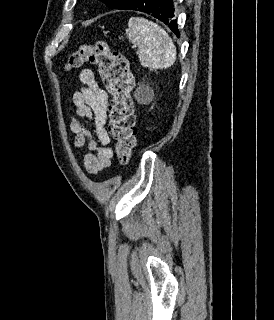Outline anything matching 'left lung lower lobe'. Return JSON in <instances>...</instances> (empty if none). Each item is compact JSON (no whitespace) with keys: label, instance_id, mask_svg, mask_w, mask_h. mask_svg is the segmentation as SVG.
Wrapping results in <instances>:
<instances>
[{"label":"left lung lower lobe","instance_id":"obj_1","mask_svg":"<svg viewBox=\"0 0 274 320\" xmlns=\"http://www.w3.org/2000/svg\"><path fill=\"white\" fill-rule=\"evenodd\" d=\"M123 9L137 10L150 14L164 22L176 35L180 36L177 21L174 20L173 0H133Z\"/></svg>","mask_w":274,"mask_h":320}]
</instances>
